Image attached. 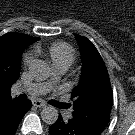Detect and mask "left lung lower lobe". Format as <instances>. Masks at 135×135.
Wrapping results in <instances>:
<instances>
[{
  "mask_svg": "<svg viewBox=\"0 0 135 135\" xmlns=\"http://www.w3.org/2000/svg\"><path fill=\"white\" fill-rule=\"evenodd\" d=\"M103 130L85 120L73 117L67 121L59 115L57 121L50 126L49 133L50 135H100Z\"/></svg>",
  "mask_w": 135,
  "mask_h": 135,
  "instance_id": "obj_1",
  "label": "left lung lower lobe"
}]
</instances>
